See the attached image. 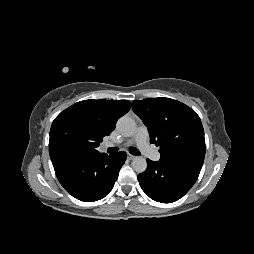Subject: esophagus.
Returning a JSON list of instances; mask_svg holds the SVG:
<instances>
[{
  "instance_id": "1",
  "label": "esophagus",
  "mask_w": 254,
  "mask_h": 254,
  "mask_svg": "<svg viewBox=\"0 0 254 254\" xmlns=\"http://www.w3.org/2000/svg\"><path fill=\"white\" fill-rule=\"evenodd\" d=\"M127 158H128V160H133L135 158V156L132 154H127Z\"/></svg>"
}]
</instances>
